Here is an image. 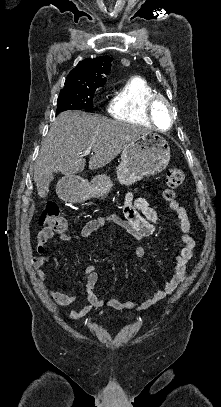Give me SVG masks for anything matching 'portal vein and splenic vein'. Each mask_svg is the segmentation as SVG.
<instances>
[{
  "label": "portal vein and splenic vein",
  "mask_w": 221,
  "mask_h": 407,
  "mask_svg": "<svg viewBox=\"0 0 221 407\" xmlns=\"http://www.w3.org/2000/svg\"><path fill=\"white\" fill-rule=\"evenodd\" d=\"M82 153H83L84 156H86V155H89V154L91 153V150H90V149H86V150H84Z\"/></svg>",
  "instance_id": "obj_1"
}]
</instances>
